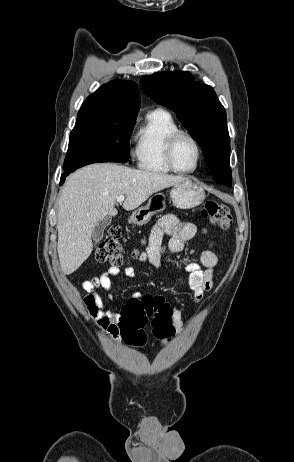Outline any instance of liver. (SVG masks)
Segmentation results:
<instances>
[{"mask_svg": "<svg viewBox=\"0 0 294 462\" xmlns=\"http://www.w3.org/2000/svg\"><path fill=\"white\" fill-rule=\"evenodd\" d=\"M184 179L112 163L88 165L71 174L58 204L57 251L64 274L76 271L89 257L92 232L99 221L117 215L118 196H126L125 210H134L153 193Z\"/></svg>", "mask_w": 294, "mask_h": 462, "instance_id": "1", "label": "liver"}]
</instances>
